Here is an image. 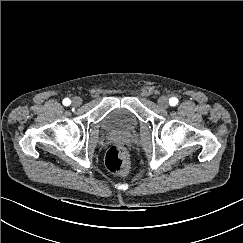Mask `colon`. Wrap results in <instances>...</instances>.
I'll list each match as a JSON object with an SVG mask.
<instances>
[{"instance_id":"1","label":"colon","mask_w":243,"mask_h":243,"mask_svg":"<svg viewBox=\"0 0 243 243\" xmlns=\"http://www.w3.org/2000/svg\"><path fill=\"white\" fill-rule=\"evenodd\" d=\"M106 167L113 173L125 175L129 171V159L127 152L121 146L110 147L105 157Z\"/></svg>"}]
</instances>
